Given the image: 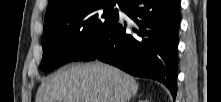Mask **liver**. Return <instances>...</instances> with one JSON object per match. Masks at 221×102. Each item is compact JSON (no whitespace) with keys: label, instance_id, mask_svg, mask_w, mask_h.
I'll return each mask as SVG.
<instances>
[{"label":"liver","instance_id":"1","mask_svg":"<svg viewBox=\"0 0 221 102\" xmlns=\"http://www.w3.org/2000/svg\"><path fill=\"white\" fill-rule=\"evenodd\" d=\"M138 88L132 76L113 66L80 64L44 80L35 102H129Z\"/></svg>","mask_w":221,"mask_h":102}]
</instances>
